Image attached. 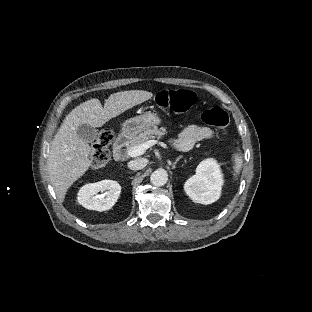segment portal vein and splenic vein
Returning a JSON list of instances; mask_svg holds the SVG:
<instances>
[{
    "label": "portal vein and splenic vein",
    "mask_w": 312,
    "mask_h": 312,
    "mask_svg": "<svg viewBox=\"0 0 312 312\" xmlns=\"http://www.w3.org/2000/svg\"><path fill=\"white\" fill-rule=\"evenodd\" d=\"M157 144V140H149L147 142H145L144 144L135 146L133 148H131L130 150H128V155L130 157H137L140 155H143L144 152L151 146Z\"/></svg>",
    "instance_id": "18ae733b"
}]
</instances>
